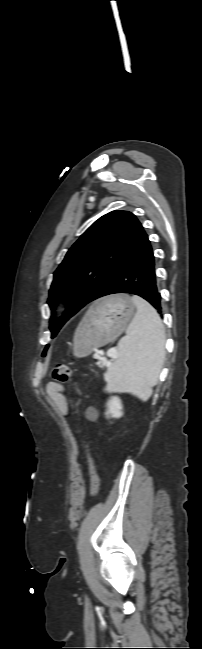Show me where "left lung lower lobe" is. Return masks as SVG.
<instances>
[{"mask_svg":"<svg viewBox=\"0 0 202 649\" xmlns=\"http://www.w3.org/2000/svg\"><path fill=\"white\" fill-rule=\"evenodd\" d=\"M115 293L139 295L150 302L162 315L161 297L156 283L155 259L143 227L105 278L95 299ZM48 347V345L45 347L43 354Z\"/></svg>","mask_w":202,"mask_h":649,"instance_id":"1","label":"left lung lower lobe"}]
</instances>
